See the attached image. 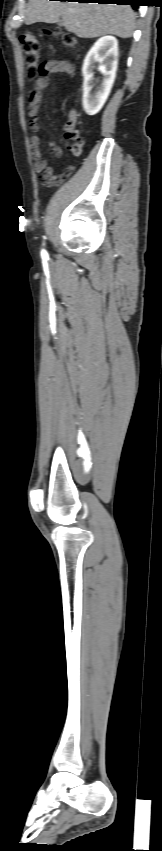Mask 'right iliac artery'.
<instances>
[{
  "instance_id": "1",
  "label": "right iliac artery",
  "mask_w": 162,
  "mask_h": 851,
  "mask_svg": "<svg viewBox=\"0 0 162 851\" xmlns=\"http://www.w3.org/2000/svg\"><path fill=\"white\" fill-rule=\"evenodd\" d=\"M41 255H42V257H46V256H47V252H46L45 250H42Z\"/></svg>"
}]
</instances>
